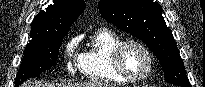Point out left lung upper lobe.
I'll return each instance as SVG.
<instances>
[{
    "label": "left lung upper lobe",
    "instance_id": "1",
    "mask_svg": "<svg viewBox=\"0 0 205 87\" xmlns=\"http://www.w3.org/2000/svg\"><path fill=\"white\" fill-rule=\"evenodd\" d=\"M98 8L103 18L142 40L158 58L165 80L181 87H191L173 35L154 0H101Z\"/></svg>",
    "mask_w": 205,
    "mask_h": 87
}]
</instances>
